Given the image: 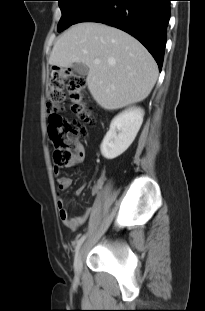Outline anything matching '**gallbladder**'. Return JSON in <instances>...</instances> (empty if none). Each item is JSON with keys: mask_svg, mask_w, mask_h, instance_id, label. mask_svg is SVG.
<instances>
[{"mask_svg": "<svg viewBox=\"0 0 205 311\" xmlns=\"http://www.w3.org/2000/svg\"><path fill=\"white\" fill-rule=\"evenodd\" d=\"M72 69L75 73L81 75V76H86L88 74V67L83 64V63H74L72 65Z\"/></svg>", "mask_w": 205, "mask_h": 311, "instance_id": "obj_1", "label": "gallbladder"}]
</instances>
